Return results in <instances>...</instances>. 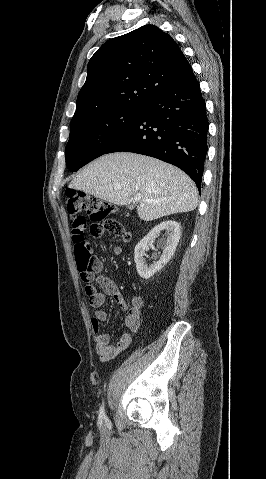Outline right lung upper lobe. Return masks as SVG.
<instances>
[{
  "instance_id": "cb5924a9",
  "label": "right lung upper lobe",
  "mask_w": 266,
  "mask_h": 479,
  "mask_svg": "<svg viewBox=\"0 0 266 479\" xmlns=\"http://www.w3.org/2000/svg\"><path fill=\"white\" fill-rule=\"evenodd\" d=\"M183 52L154 25L103 44L90 59L72 120L121 108H142L193 76Z\"/></svg>"
}]
</instances>
